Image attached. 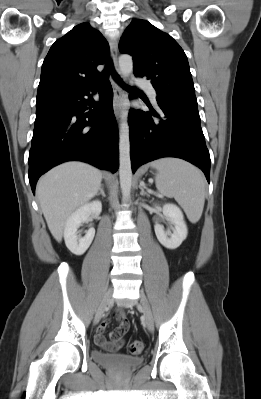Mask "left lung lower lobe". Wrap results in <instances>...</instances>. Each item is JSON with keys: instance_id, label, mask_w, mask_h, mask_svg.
Instances as JSON below:
<instances>
[{"instance_id": "1", "label": "left lung lower lobe", "mask_w": 261, "mask_h": 399, "mask_svg": "<svg viewBox=\"0 0 261 399\" xmlns=\"http://www.w3.org/2000/svg\"><path fill=\"white\" fill-rule=\"evenodd\" d=\"M132 97V96H130ZM163 116L131 109L129 112L132 171L149 161L177 157L198 166L210 183V155L200 126L197 101L157 100Z\"/></svg>"}]
</instances>
